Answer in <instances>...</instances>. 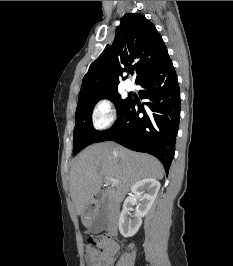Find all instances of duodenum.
I'll return each mask as SVG.
<instances>
[{"instance_id":"1","label":"duodenum","mask_w":233,"mask_h":266,"mask_svg":"<svg viewBox=\"0 0 233 266\" xmlns=\"http://www.w3.org/2000/svg\"><path fill=\"white\" fill-rule=\"evenodd\" d=\"M100 194L95 196V199L98 200ZM108 233L112 236L117 235L118 233V206L115 203H112L109 207V220L107 226Z\"/></svg>"}]
</instances>
